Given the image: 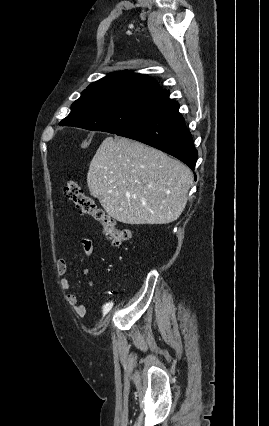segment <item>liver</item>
I'll return each instance as SVG.
<instances>
[{
    "label": "liver",
    "instance_id": "liver-1",
    "mask_svg": "<svg viewBox=\"0 0 269 426\" xmlns=\"http://www.w3.org/2000/svg\"><path fill=\"white\" fill-rule=\"evenodd\" d=\"M191 170L155 148L107 137L90 162L87 184L113 219L125 224H168L179 218L192 185Z\"/></svg>",
    "mask_w": 269,
    "mask_h": 426
}]
</instances>
